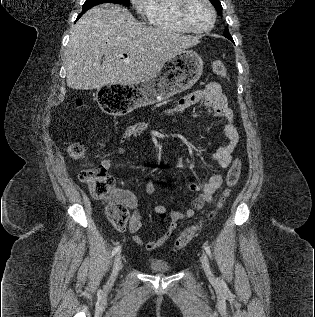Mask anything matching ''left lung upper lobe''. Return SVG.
<instances>
[{"label": "left lung upper lobe", "mask_w": 315, "mask_h": 317, "mask_svg": "<svg viewBox=\"0 0 315 317\" xmlns=\"http://www.w3.org/2000/svg\"><path fill=\"white\" fill-rule=\"evenodd\" d=\"M210 2L213 4V6L215 7V9L217 10L219 15H222V6L219 0H210ZM224 36L226 38H228L229 40L231 39V41H233L231 35L229 34L228 28L226 27L225 32H224Z\"/></svg>", "instance_id": "obj_1"}]
</instances>
